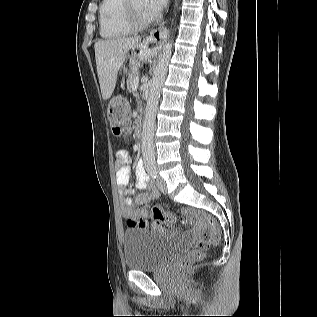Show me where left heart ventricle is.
<instances>
[{
    "label": "left heart ventricle",
    "mask_w": 317,
    "mask_h": 317,
    "mask_svg": "<svg viewBox=\"0 0 317 317\" xmlns=\"http://www.w3.org/2000/svg\"><path fill=\"white\" fill-rule=\"evenodd\" d=\"M133 7L135 9L136 14L142 20L149 19L145 7H144V0H132Z\"/></svg>",
    "instance_id": "obj_1"
}]
</instances>
